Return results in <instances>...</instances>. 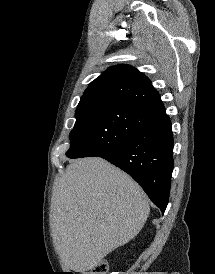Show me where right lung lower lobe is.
Instances as JSON below:
<instances>
[{"label": "right lung lower lobe", "mask_w": 215, "mask_h": 274, "mask_svg": "<svg viewBox=\"0 0 215 274\" xmlns=\"http://www.w3.org/2000/svg\"><path fill=\"white\" fill-rule=\"evenodd\" d=\"M171 122L163 113L125 144L100 156L128 173L164 213L173 171Z\"/></svg>", "instance_id": "98d812e1"}]
</instances>
